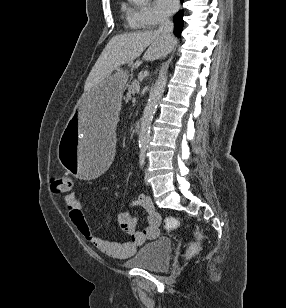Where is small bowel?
Instances as JSON below:
<instances>
[{
	"instance_id": "1",
	"label": "small bowel",
	"mask_w": 286,
	"mask_h": 308,
	"mask_svg": "<svg viewBox=\"0 0 286 308\" xmlns=\"http://www.w3.org/2000/svg\"><path fill=\"white\" fill-rule=\"evenodd\" d=\"M64 205L72 224L83 238L99 251L112 257L127 258L147 240H154L159 236L161 216L156 212L151 198L147 195H139L132 203V207H141L146 212L147 225L143 230L137 228L138 221L130 213L120 214V224L129 234V239L123 242L106 240L95 233L84 216V212L91 209L84 206L75 193L64 197Z\"/></svg>"
}]
</instances>
